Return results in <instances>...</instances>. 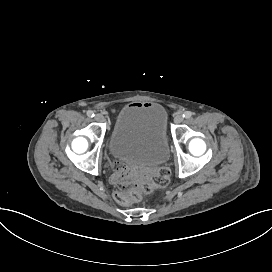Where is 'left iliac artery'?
Returning <instances> with one entry per match:
<instances>
[{"label":"left iliac artery","mask_w":272,"mask_h":272,"mask_svg":"<svg viewBox=\"0 0 272 272\" xmlns=\"http://www.w3.org/2000/svg\"><path fill=\"white\" fill-rule=\"evenodd\" d=\"M191 117H192V112L186 111V112L183 113V118L189 119Z\"/></svg>","instance_id":"obj_1"}]
</instances>
